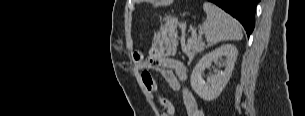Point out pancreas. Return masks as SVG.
Instances as JSON below:
<instances>
[{
    "mask_svg": "<svg viewBox=\"0 0 305 116\" xmlns=\"http://www.w3.org/2000/svg\"><path fill=\"white\" fill-rule=\"evenodd\" d=\"M205 47L201 35H194L188 39L186 45H182V50L189 58H193L196 54L201 53Z\"/></svg>",
    "mask_w": 305,
    "mask_h": 116,
    "instance_id": "cf45deb5",
    "label": "pancreas"
}]
</instances>
